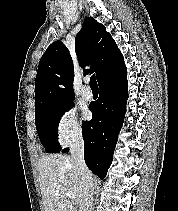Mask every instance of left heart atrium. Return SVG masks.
<instances>
[{
    "label": "left heart atrium",
    "instance_id": "left-heart-atrium-1",
    "mask_svg": "<svg viewBox=\"0 0 178 211\" xmlns=\"http://www.w3.org/2000/svg\"><path fill=\"white\" fill-rule=\"evenodd\" d=\"M89 116H90V113H89V112H86V113H85V117H86V118H89Z\"/></svg>",
    "mask_w": 178,
    "mask_h": 211
}]
</instances>
